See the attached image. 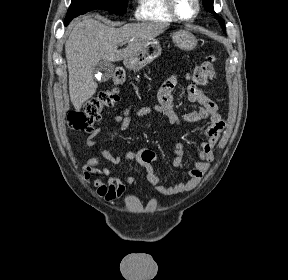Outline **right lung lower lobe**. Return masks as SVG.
<instances>
[{
    "instance_id": "98d812e1",
    "label": "right lung lower lobe",
    "mask_w": 288,
    "mask_h": 280,
    "mask_svg": "<svg viewBox=\"0 0 288 280\" xmlns=\"http://www.w3.org/2000/svg\"><path fill=\"white\" fill-rule=\"evenodd\" d=\"M72 20V19H71ZM71 20L64 21V25L67 26Z\"/></svg>"
}]
</instances>
